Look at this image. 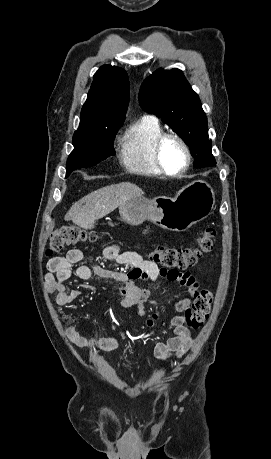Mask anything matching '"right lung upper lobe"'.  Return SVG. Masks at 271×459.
<instances>
[{"mask_svg":"<svg viewBox=\"0 0 271 459\" xmlns=\"http://www.w3.org/2000/svg\"><path fill=\"white\" fill-rule=\"evenodd\" d=\"M129 102V80L124 69L104 65L94 75L81 120L125 119Z\"/></svg>","mask_w":271,"mask_h":459,"instance_id":"cb5924a9","label":"right lung upper lobe"}]
</instances>
